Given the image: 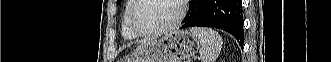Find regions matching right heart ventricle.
I'll use <instances>...</instances> for the list:
<instances>
[{"label": "right heart ventricle", "mask_w": 331, "mask_h": 62, "mask_svg": "<svg viewBox=\"0 0 331 62\" xmlns=\"http://www.w3.org/2000/svg\"><path fill=\"white\" fill-rule=\"evenodd\" d=\"M133 4H134V0L127 1L122 14V22H121L122 35L124 38L128 40H134L139 37V35L133 31L129 22V15Z\"/></svg>", "instance_id": "1"}]
</instances>
